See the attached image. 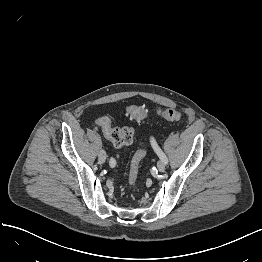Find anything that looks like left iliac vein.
Instances as JSON below:
<instances>
[{"mask_svg": "<svg viewBox=\"0 0 262 262\" xmlns=\"http://www.w3.org/2000/svg\"><path fill=\"white\" fill-rule=\"evenodd\" d=\"M165 162L163 160H159L157 163V168L160 172H163L165 170Z\"/></svg>", "mask_w": 262, "mask_h": 262, "instance_id": "1", "label": "left iliac vein"}]
</instances>
